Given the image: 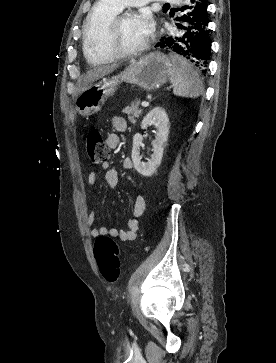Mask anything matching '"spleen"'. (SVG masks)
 <instances>
[{
    "mask_svg": "<svg viewBox=\"0 0 276 363\" xmlns=\"http://www.w3.org/2000/svg\"><path fill=\"white\" fill-rule=\"evenodd\" d=\"M172 73L170 81L173 85V93L176 96L197 98L203 92L202 81L197 71L184 58L178 55H170Z\"/></svg>",
    "mask_w": 276,
    "mask_h": 363,
    "instance_id": "spleen-1",
    "label": "spleen"
}]
</instances>
